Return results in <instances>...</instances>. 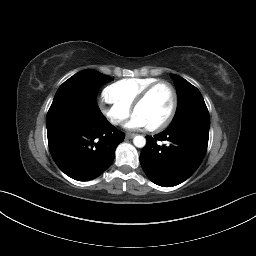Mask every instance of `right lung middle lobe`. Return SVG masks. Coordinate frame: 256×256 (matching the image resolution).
Here are the masks:
<instances>
[{"label":"right lung middle lobe","mask_w":256,"mask_h":256,"mask_svg":"<svg viewBox=\"0 0 256 256\" xmlns=\"http://www.w3.org/2000/svg\"><path fill=\"white\" fill-rule=\"evenodd\" d=\"M112 80L93 69L78 72L59 87L47 116L60 111H88L97 107L96 98L100 87Z\"/></svg>","instance_id":"1"}]
</instances>
